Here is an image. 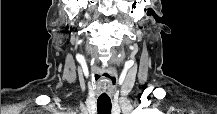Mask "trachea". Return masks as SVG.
<instances>
[{
  "mask_svg": "<svg viewBox=\"0 0 217 114\" xmlns=\"http://www.w3.org/2000/svg\"><path fill=\"white\" fill-rule=\"evenodd\" d=\"M111 108H112V104L110 98H98L97 100L98 114H110Z\"/></svg>",
  "mask_w": 217,
  "mask_h": 114,
  "instance_id": "obj_1",
  "label": "trachea"
}]
</instances>
